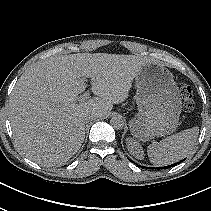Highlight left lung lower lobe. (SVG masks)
<instances>
[{
    "label": "left lung lower lobe",
    "mask_w": 211,
    "mask_h": 211,
    "mask_svg": "<svg viewBox=\"0 0 211 211\" xmlns=\"http://www.w3.org/2000/svg\"><path fill=\"white\" fill-rule=\"evenodd\" d=\"M177 164L178 163H175V164H172V165H169V166H165V167H160V168H157V169H167V168L172 167V166H175Z\"/></svg>",
    "instance_id": "0a47b994"
}]
</instances>
